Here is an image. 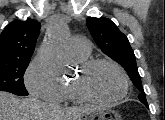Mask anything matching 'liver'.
Masks as SVG:
<instances>
[{
  "mask_svg": "<svg viewBox=\"0 0 165 120\" xmlns=\"http://www.w3.org/2000/svg\"><path fill=\"white\" fill-rule=\"evenodd\" d=\"M91 110L85 108H62L36 98L19 99L0 91V120H81Z\"/></svg>",
  "mask_w": 165,
  "mask_h": 120,
  "instance_id": "liver-1",
  "label": "liver"
}]
</instances>
